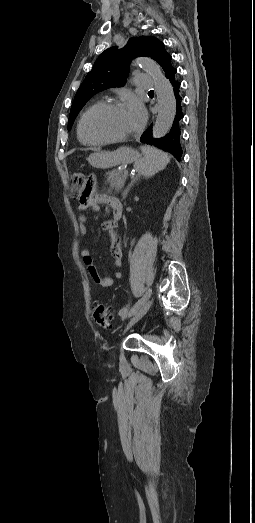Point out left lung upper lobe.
Here are the masks:
<instances>
[{
  "instance_id": "1",
  "label": "left lung upper lobe",
  "mask_w": 255,
  "mask_h": 523,
  "mask_svg": "<svg viewBox=\"0 0 255 523\" xmlns=\"http://www.w3.org/2000/svg\"><path fill=\"white\" fill-rule=\"evenodd\" d=\"M139 56H148L156 60L164 70L166 78L174 76L177 72L171 65L172 57L166 52L164 44L153 36L134 37L122 49L112 47L105 50L98 57L75 95L68 119V130L71 129L74 119L91 97L107 88L124 85L131 60ZM150 129L152 130V128ZM160 149L163 150V148Z\"/></svg>"
}]
</instances>
